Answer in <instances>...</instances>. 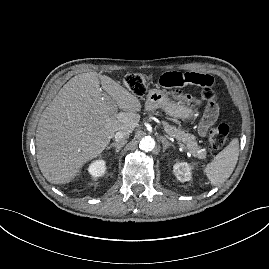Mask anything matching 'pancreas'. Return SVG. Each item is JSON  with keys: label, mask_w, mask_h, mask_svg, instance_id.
<instances>
[{"label": "pancreas", "mask_w": 269, "mask_h": 269, "mask_svg": "<svg viewBox=\"0 0 269 269\" xmlns=\"http://www.w3.org/2000/svg\"><path fill=\"white\" fill-rule=\"evenodd\" d=\"M164 130L171 137L183 142L186 145V149L191 152L194 157L206 159V151L198 146L194 136L167 123H164Z\"/></svg>", "instance_id": "1"}]
</instances>
